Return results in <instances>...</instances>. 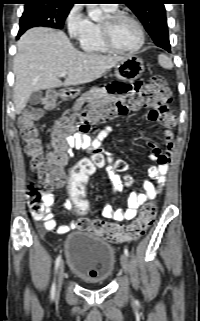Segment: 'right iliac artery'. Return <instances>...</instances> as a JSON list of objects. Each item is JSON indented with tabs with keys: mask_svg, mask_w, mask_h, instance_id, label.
<instances>
[{
	"mask_svg": "<svg viewBox=\"0 0 200 321\" xmlns=\"http://www.w3.org/2000/svg\"><path fill=\"white\" fill-rule=\"evenodd\" d=\"M61 261H62L61 255H59V256L57 257L56 261H55V271L58 270ZM55 293H56V286H55V282H53L52 287H51V291H50L51 299H54Z\"/></svg>",
	"mask_w": 200,
	"mask_h": 321,
	"instance_id": "1",
	"label": "right iliac artery"
}]
</instances>
